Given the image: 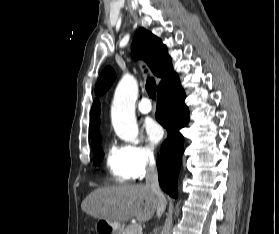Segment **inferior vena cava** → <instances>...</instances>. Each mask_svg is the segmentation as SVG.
<instances>
[{"label": "inferior vena cava", "instance_id": "inferior-vena-cava-1", "mask_svg": "<svg viewBox=\"0 0 279 234\" xmlns=\"http://www.w3.org/2000/svg\"><path fill=\"white\" fill-rule=\"evenodd\" d=\"M146 186L149 187L151 191L159 199V204L157 207V216L160 217L165 209L166 199L159 186L158 173L153 158H150L149 160V167L147 168L146 172Z\"/></svg>", "mask_w": 279, "mask_h": 234}]
</instances>
